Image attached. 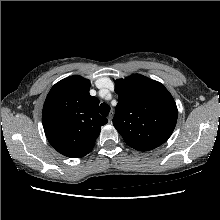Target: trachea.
I'll use <instances>...</instances> for the list:
<instances>
[{
    "label": "trachea",
    "mask_w": 220,
    "mask_h": 220,
    "mask_svg": "<svg viewBox=\"0 0 220 220\" xmlns=\"http://www.w3.org/2000/svg\"><path fill=\"white\" fill-rule=\"evenodd\" d=\"M99 111H100L101 115L107 116L109 114V112H110V106L105 104V103H102L100 105Z\"/></svg>",
    "instance_id": "3493384b"
}]
</instances>
